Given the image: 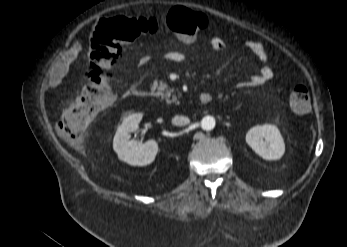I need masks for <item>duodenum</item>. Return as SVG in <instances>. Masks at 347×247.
Segmentation results:
<instances>
[{
	"label": "duodenum",
	"instance_id": "duodenum-1",
	"mask_svg": "<svg viewBox=\"0 0 347 247\" xmlns=\"http://www.w3.org/2000/svg\"><path fill=\"white\" fill-rule=\"evenodd\" d=\"M128 95L134 97H146L149 95V91L146 89L132 87L128 90ZM198 100L201 104H207L212 100V96L209 93H202Z\"/></svg>",
	"mask_w": 347,
	"mask_h": 247
}]
</instances>
